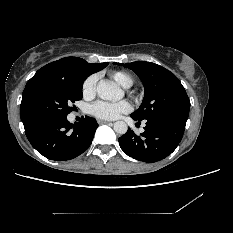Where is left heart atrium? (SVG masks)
Here are the masks:
<instances>
[{"mask_svg": "<svg viewBox=\"0 0 233 233\" xmlns=\"http://www.w3.org/2000/svg\"><path fill=\"white\" fill-rule=\"evenodd\" d=\"M132 109L130 103L126 100L118 102L97 101L91 105V113L95 117L103 120H114L122 114L130 112Z\"/></svg>", "mask_w": 233, "mask_h": 233, "instance_id": "39dd6f15", "label": "left heart atrium"}]
</instances>
